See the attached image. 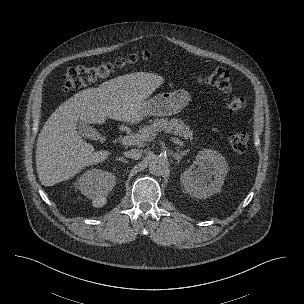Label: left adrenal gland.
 Wrapping results in <instances>:
<instances>
[{
  "mask_svg": "<svg viewBox=\"0 0 304 304\" xmlns=\"http://www.w3.org/2000/svg\"><path fill=\"white\" fill-rule=\"evenodd\" d=\"M188 152H189V149H186L184 151L177 150L176 153H172V156L177 160V163H180V160L182 159V157L184 155H186Z\"/></svg>",
  "mask_w": 304,
  "mask_h": 304,
  "instance_id": "left-adrenal-gland-1",
  "label": "left adrenal gland"
}]
</instances>
